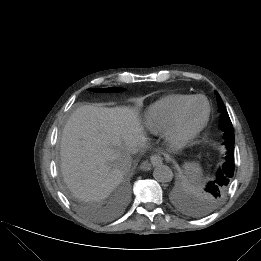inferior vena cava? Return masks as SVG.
<instances>
[{
    "label": "inferior vena cava",
    "instance_id": "602c4592",
    "mask_svg": "<svg viewBox=\"0 0 261 261\" xmlns=\"http://www.w3.org/2000/svg\"><path fill=\"white\" fill-rule=\"evenodd\" d=\"M119 168L124 172H128L131 169L132 157L130 155H124L119 159Z\"/></svg>",
    "mask_w": 261,
    "mask_h": 261
}]
</instances>
